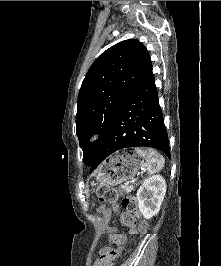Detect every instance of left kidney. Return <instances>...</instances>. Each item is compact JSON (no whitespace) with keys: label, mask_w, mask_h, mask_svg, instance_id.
Returning <instances> with one entry per match:
<instances>
[{"label":"left kidney","mask_w":221,"mask_h":266,"mask_svg":"<svg viewBox=\"0 0 221 266\" xmlns=\"http://www.w3.org/2000/svg\"><path fill=\"white\" fill-rule=\"evenodd\" d=\"M166 188V181L160 175L145 179L137 192L139 210L144 218L151 219L159 212Z\"/></svg>","instance_id":"obj_1"}]
</instances>
